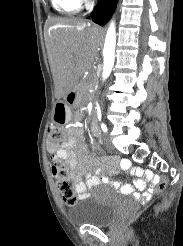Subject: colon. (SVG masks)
Segmentation results:
<instances>
[{
  "instance_id": "1",
  "label": "colon",
  "mask_w": 183,
  "mask_h": 246,
  "mask_svg": "<svg viewBox=\"0 0 183 246\" xmlns=\"http://www.w3.org/2000/svg\"><path fill=\"white\" fill-rule=\"evenodd\" d=\"M66 110L63 106L56 109L55 120L58 123H63L66 120ZM65 139L64 132L58 126H52L47 134V148L49 151L57 150ZM96 154L99 157L105 156L104 149H96ZM52 172L57 181V187L62 195L64 203L68 206H74L77 201L76 188L74 180L69 176L66 166L60 162H55L52 167ZM145 177V175H143ZM158 192L165 189L167 179L161 177V182H155Z\"/></svg>"
}]
</instances>
